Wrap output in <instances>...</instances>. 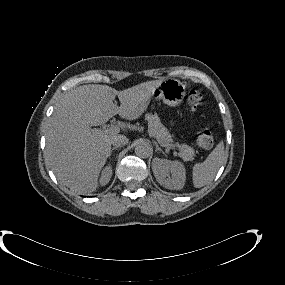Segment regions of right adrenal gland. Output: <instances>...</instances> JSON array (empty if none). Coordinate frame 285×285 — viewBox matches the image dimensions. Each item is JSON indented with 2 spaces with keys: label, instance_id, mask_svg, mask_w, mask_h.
<instances>
[{
  "label": "right adrenal gland",
  "instance_id": "1",
  "mask_svg": "<svg viewBox=\"0 0 285 285\" xmlns=\"http://www.w3.org/2000/svg\"><path fill=\"white\" fill-rule=\"evenodd\" d=\"M118 148H119V146H114V147L111 149V151H110V153H109V158L111 157L112 151H114L115 149H118Z\"/></svg>",
  "mask_w": 285,
  "mask_h": 285
}]
</instances>
